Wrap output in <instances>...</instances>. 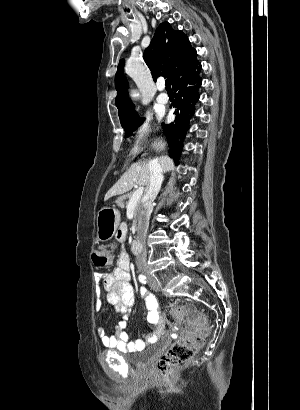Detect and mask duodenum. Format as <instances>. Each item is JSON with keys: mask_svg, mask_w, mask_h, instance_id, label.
Here are the masks:
<instances>
[{"mask_svg": "<svg viewBox=\"0 0 300 410\" xmlns=\"http://www.w3.org/2000/svg\"><path fill=\"white\" fill-rule=\"evenodd\" d=\"M131 250L134 254H140L141 248L138 240L132 243Z\"/></svg>", "mask_w": 300, "mask_h": 410, "instance_id": "1", "label": "duodenum"}]
</instances>
